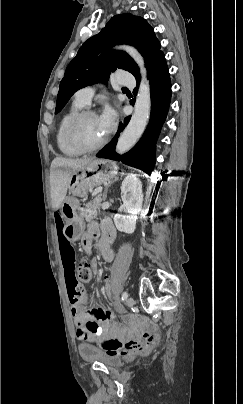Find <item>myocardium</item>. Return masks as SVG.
I'll return each mask as SVG.
<instances>
[{
	"instance_id": "1",
	"label": "myocardium",
	"mask_w": 243,
	"mask_h": 404,
	"mask_svg": "<svg viewBox=\"0 0 243 404\" xmlns=\"http://www.w3.org/2000/svg\"><path fill=\"white\" fill-rule=\"evenodd\" d=\"M88 116H97V113L91 109H82V110L78 111L77 113H75L66 122L64 129H63V137H64L65 141L83 152L96 151V150L102 148L107 143V140H108L106 137H104V139H102L100 142H98L95 145H87L76 137V135L74 133V129H75L76 125Z\"/></svg>"
}]
</instances>
